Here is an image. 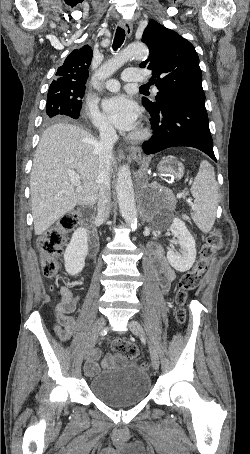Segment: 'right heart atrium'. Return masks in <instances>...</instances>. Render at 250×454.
Returning a JSON list of instances; mask_svg holds the SVG:
<instances>
[{
	"instance_id": "obj_1",
	"label": "right heart atrium",
	"mask_w": 250,
	"mask_h": 454,
	"mask_svg": "<svg viewBox=\"0 0 250 454\" xmlns=\"http://www.w3.org/2000/svg\"><path fill=\"white\" fill-rule=\"evenodd\" d=\"M85 115L90 119L92 125L101 132H111L112 127L109 121L98 111V109L88 103L85 107Z\"/></svg>"
}]
</instances>
